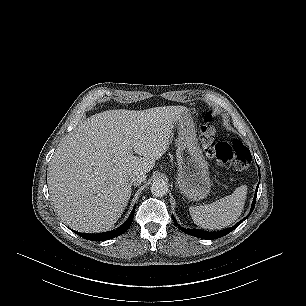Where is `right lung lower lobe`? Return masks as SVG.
Listing matches in <instances>:
<instances>
[{"label": "right lung lower lobe", "instance_id": "right-lung-lower-lobe-1", "mask_svg": "<svg viewBox=\"0 0 306 306\" xmlns=\"http://www.w3.org/2000/svg\"><path fill=\"white\" fill-rule=\"evenodd\" d=\"M134 211L135 208H133V211L131 212L129 218L127 219V221L120 226L119 228H117L116 230L110 231V232H105V233H98V234H86V233H80V232H75L77 235L87 239V240H91V241H104V240H108L114 237H117L119 235H122L123 233H125L130 225L133 222V217H134Z\"/></svg>", "mask_w": 306, "mask_h": 306}]
</instances>
